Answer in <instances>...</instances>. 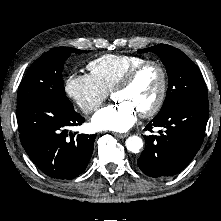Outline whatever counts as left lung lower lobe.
Here are the masks:
<instances>
[{
	"label": "left lung lower lobe",
	"mask_w": 221,
	"mask_h": 221,
	"mask_svg": "<svg viewBox=\"0 0 221 221\" xmlns=\"http://www.w3.org/2000/svg\"><path fill=\"white\" fill-rule=\"evenodd\" d=\"M208 116L207 96L186 100L156 116L145 130L162 127L164 131L145 136L147 146L137 161L141 171L150 177H166L183 170L201 147Z\"/></svg>",
	"instance_id": "1"
}]
</instances>
